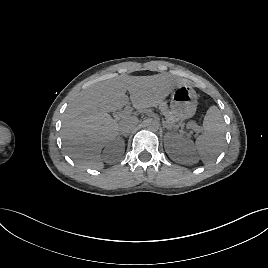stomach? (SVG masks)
I'll list each match as a JSON object with an SVG mask.
<instances>
[{"label":"stomach","instance_id":"obj_1","mask_svg":"<svg viewBox=\"0 0 268 268\" xmlns=\"http://www.w3.org/2000/svg\"><path fill=\"white\" fill-rule=\"evenodd\" d=\"M197 109V95L195 90L187 84L177 86L171 96L170 112L178 120L193 117Z\"/></svg>","mask_w":268,"mask_h":268}]
</instances>
